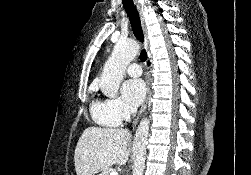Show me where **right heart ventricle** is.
I'll use <instances>...</instances> for the list:
<instances>
[{
	"instance_id": "obj_1",
	"label": "right heart ventricle",
	"mask_w": 251,
	"mask_h": 175,
	"mask_svg": "<svg viewBox=\"0 0 251 175\" xmlns=\"http://www.w3.org/2000/svg\"><path fill=\"white\" fill-rule=\"evenodd\" d=\"M90 111L91 114L94 118V120L103 126L106 127H117L118 123L115 122L107 113L106 107H105V102L101 101H93L91 106H90Z\"/></svg>"
}]
</instances>
